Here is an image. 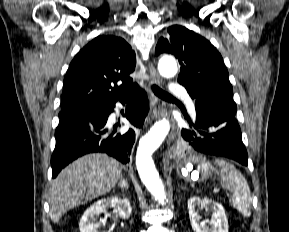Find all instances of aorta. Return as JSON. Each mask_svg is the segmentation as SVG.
<instances>
[{
  "mask_svg": "<svg viewBox=\"0 0 289 232\" xmlns=\"http://www.w3.org/2000/svg\"><path fill=\"white\" fill-rule=\"evenodd\" d=\"M159 72L162 76L170 78L177 73V63L172 58H164L159 62ZM170 129L169 121L163 119L157 122L149 132L141 138L136 155V167L142 183L154 198L161 204L165 203L166 194L163 182L152 160V153L164 141Z\"/></svg>",
  "mask_w": 289,
  "mask_h": 232,
  "instance_id": "aorta-1",
  "label": "aorta"
}]
</instances>
